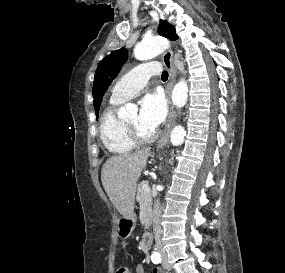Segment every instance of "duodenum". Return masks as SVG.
I'll return each instance as SVG.
<instances>
[{
  "label": "duodenum",
  "instance_id": "duodenum-1",
  "mask_svg": "<svg viewBox=\"0 0 285 273\" xmlns=\"http://www.w3.org/2000/svg\"><path fill=\"white\" fill-rule=\"evenodd\" d=\"M151 233L145 232L142 236V245L145 250H148L150 248V242H151Z\"/></svg>",
  "mask_w": 285,
  "mask_h": 273
}]
</instances>
